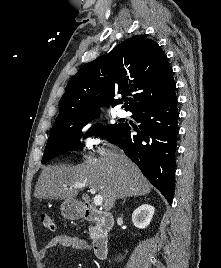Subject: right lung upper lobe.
<instances>
[{"label": "right lung upper lobe", "mask_w": 221, "mask_h": 268, "mask_svg": "<svg viewBox=\"0 0 221 268\" xmlns=\"http://www.w3.org/2000/svg\"><path fill=\"white\" fill-rule=\"evenodd\" d=\"M131 93H135L133 100L124 107L132 113L175 93L167 56L157 43L141 35L85 64L67 84L56 120L99 113L100 106L122 102L114 99L116 94L125 97Z\"/></svg>", "instance_id": "right-lung-upper-lobe-1"}]
</instances>
